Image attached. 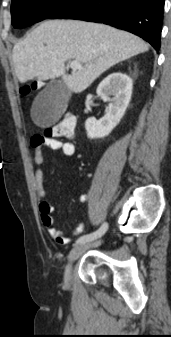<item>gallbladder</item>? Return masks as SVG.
<instances>
[{"instance_id": "1", "label": "gallbladder", "mask_w": 171, "mask_h": 337, "mask_svg": "<svg viewBox=\"0 0 171 337\" xmlns=\"http://www.w3.org/2000/svg\"><path fill=\"white\" fill-rule=\"evenodd\" d=\"M69 97L70 91L64 82L51 81L33 102V121L42 127L54 124L64 113Z\"/></svg>"}]
</instances>
